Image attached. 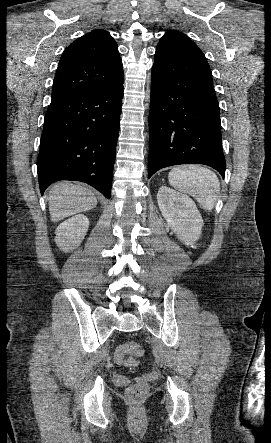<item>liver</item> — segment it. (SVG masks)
I'll return each instance as SVG.
<instances>
[{
    "label": "liver",
    "mask_w": 271,
    "mask_h": 443,
    "mask_svg": "<svg viewBox=\"0 0 271 443\" xmlns=\"http://www.w3.org/2000/svg\"><path fill=\"white\" fill-rule=\"evenodd\" d=\"M52 222H60L78 212H86L97 206V198L88 188L80 184L60 182L51 188L48 196Z\"/></svg>",
    "instance_id": "1"
}]
</instances>
